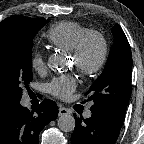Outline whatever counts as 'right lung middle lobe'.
<instances>
[{"mask_svg":"<svg viewBox=\"0 0 144 144\" xmlns=\"http://www.w3.org/2000/svg\"><path fill=\"white\" fill-rule=\"evenodd\" d=\"M45 23L44 18L24 16L0 23V88L15 105L21 100L22 87L33 79L32 40Z\"/></svg>","mask_w":144,"mask_h":144,"instance_id":"1","label":"right lung middle lobe"}]
</instances>
